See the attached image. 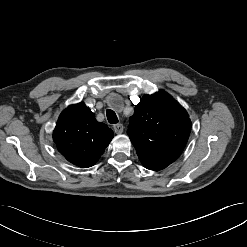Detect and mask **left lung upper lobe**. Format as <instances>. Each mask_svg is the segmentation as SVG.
I'll return each instance as SVG.
<instances>
[{"mask_svg": "<svg viewBox=\"0 0 247 247\" xmlns=\"http://www.w3.org/2000/svg\"><path fill=\"white\" fill-rule=\"evenodd\" d=\"M191 130L189 115L170 95H145L129 119L127 134L142 164L161 170L182 153Z\"/></svg>", "mask_w": 247, "mask_h": 247, "instance_id": "obj_1", "label": "left lung upper lobe"}]
</instances>
